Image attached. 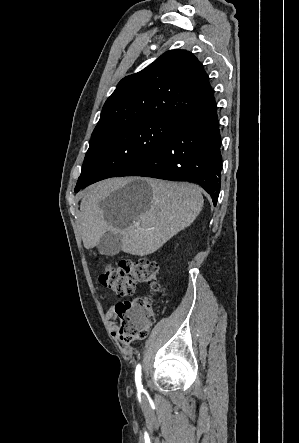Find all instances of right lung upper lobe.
Masks as SVG:
<instances>
[{
  "mask_svg": "<svg viewBox=\"0 0 299 443\" xmlns=\"http://www.w3.org/2000/svg\"><path fill=\"white\" fill-rule=\"evenodd\" d=\"M213 94L202 64L186 50H171L123 78L105 102L92 136L144 118H175Z\"/></svg>",
  "mask_w": 299,
  "mask_h": 443,
  "instance_id": "1",
  "label": "right lung upper lobe"
}]
</instances>
